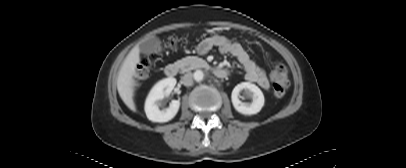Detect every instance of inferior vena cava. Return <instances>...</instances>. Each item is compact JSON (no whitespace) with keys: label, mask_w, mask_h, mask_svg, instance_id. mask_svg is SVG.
<instances>
[{"label":"inferior vena cava","mask_w":406,"mask_h":168,"mask_svg":"<svg viewBox=\"0 0 406 168\" xmlns=\"http://www.w3.org/2000/svg\"><path fill=\"white\" fill-rule=\"evenodd\" d=\"M183 84L185 86H191L193 84V75L192 73H187L183 76Z\"/></svg>","instance_id":"inferior-vena-cava-1"}]
</instances>
